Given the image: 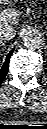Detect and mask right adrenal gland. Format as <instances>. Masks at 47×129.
Wrapping results in <instances>:
<instances>
[{
	"label": "right adrenal gland",
	"mask_w": 47,
	"mask_h": 129,
	"mask_svg": "<svg viewBox=\"0 0 47 129\" xmlns=\"http://www.w3.org/2000/svg\"><path fill=\"white\" fill-rule=\"evenodd\" d=\"M0 44H1V45H4V41H1Z\"/></svg>",
	"instance_id": "2a0ac1e0"
}]
</instances>
